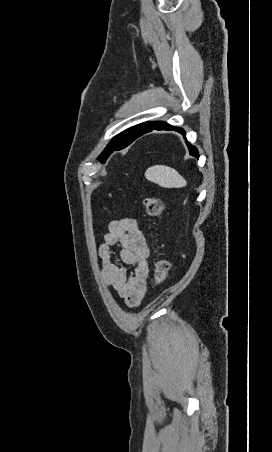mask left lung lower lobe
I'll list each match as a JSON object with an SVG mask.
<instances>
[{
    "label": "left lung lower lobe",
    "mask_w": 272,
    "mask_h": 452,
    "mask_svg": "<svg viewBox=\"0 0 272 452\" xmlns=\"http://www.w3.org/2000/svg\"><path fill=\"white\" fill-rule=\"evenodd\" d=\"M153 130H174V131L181 133L183 136H185V131L182 128L171 126L166 122H152L149 127L145 128L144 130L140 131L138 134L134 135L130 140H124L125 138L116 139V141H114L112 143V145L110 146L109 156L113 151H117V150H121V149L125 148L138 137H140L148 132H151ZM188 148H189L190 155H192L196 158H199V152L194 146H192L190 143H188Z\"/></svg>",
    "instance_id": "1"
}]
</instances>
